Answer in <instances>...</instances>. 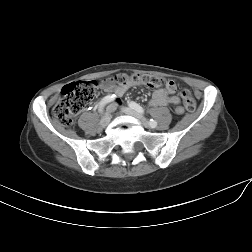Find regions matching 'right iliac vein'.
I'll use <instances>...</instances> for the list:
<instances>
[{
    "mask_svg": "<svg viewBox=\"0 0 252 252\" xmlns=\"http://www.w3.org/2000/svg\"><path fill=\"white\" fill-rule=\"evenodd\" d=\"M110 119H111L110 112H106L100 120L99 123L100 127L105 128L109 124Z\"/></svg>",
    "mask_w": 252,
    "mask_h": 252,
    "instance_id": "63e3f726",
    "label": "right iliac vein"
}]
</instances>
